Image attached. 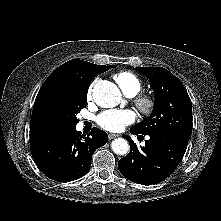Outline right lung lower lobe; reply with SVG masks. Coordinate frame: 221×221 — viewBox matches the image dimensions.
I'll list each match as a JSON object with an SVG mask.
<instances>
[{
	"label": "right lung lower lobe",
	"instance_id": "1",
	"mask_svg": "<svg viewBox=\"0 0 221 221\" xmlns=\"http://www.w3.org/2000/svg\"><path fill=\"white\" fill-rule=\"evenodd\" d=\"M107 142L108 135L103 130L93 128L86 136L73 126L31 138L30 149L43 174L69 182L89 171L93 152Z\"/></svg>",
	"mask_w": 221,
	"mask_h": 221
}]
</instances>
